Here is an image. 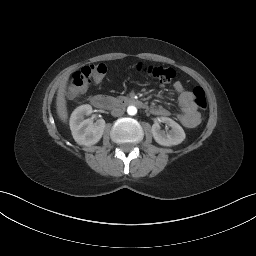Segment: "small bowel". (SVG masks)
Returning <instances> with one entry per match:
<instances>
[{"label":"small bowel","mask_w":256,"mask_h":256,"mask_svg":"<svg viewBox=\"0 0 256 256\" xmlns=\"http://www.w3.org/2000/svg\"><path fill=\"white\" fill-rule=\"evenodd\" d=\"M173 88L178 94V101L182 110V113L179 115L180 122L187 128L197 126L200 121V114L194 103L193 93L188 91L180 81L175 82ZM151 112L161 116H168L170 114L169 110L161 106L152 107Z\"/></svg>","instance_id":"small-bowel-1"}]
</instances>
